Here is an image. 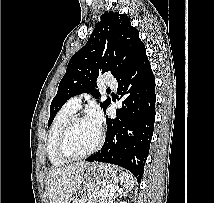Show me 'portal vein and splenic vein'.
I'll return each mask as SVG.
<instances>
[{
    "label": "portal vein and splenic vein",
    "instance_id": "portal-vein-and-splenic-vein-1",
    "mask_svg": "<svg viewBox=\"0 0 214 203\" xmlns=\"http://www.w3.org/2000/svg\"><path fill=\"white\" fill-rule=\"evenodd\" d=\"M111 191H114V189H111ZM103 193H104V190H102L101 192H98V196H97V198H98V197H100V196H102V195H103ZM93 203H95V202H93Z\"/></svg>",
    "mask_w": 214,
    "mask_h": 203
}]
</instances>
